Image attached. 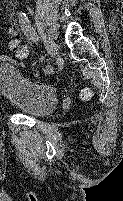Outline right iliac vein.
<instances>
[{
    "instance_id": "obj_1",
    "label": "right iliac vein",
    "mask_w": 123,
    "mask_h": 201,
    "mask_svg": "<svg viewBox=\"0 0 123 201\" xmlns=\"http://www.w3.org/2000/svg\"><path fill=\"white\" fill-rule=\"evenodd\" d=\"M44 42L48 53L51 56H55L57 54V46L54 41L49 36L44 35Z\"/></svg>"
}]
</instances>
